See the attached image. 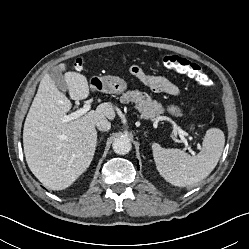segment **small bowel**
Masks as SVG:
<instances>
[{
    "mask_svg": "<svg viewBox=\"0 0 249 249\" xmlns=\"http://www.w3.org/2000/svg\"><path fill=\"white\" fill-rule=\"evenodd\" d=\"M131 72L155 93H165L171 96H179L180 94L179 88L164 76L149 74L138 66H133Z\"/></svg>",
    "mask_w": 249,
    "mask_h": 249,
    "instance_id": "small-bowel-1",
    "label": "small bowel"
}]
</instances>
